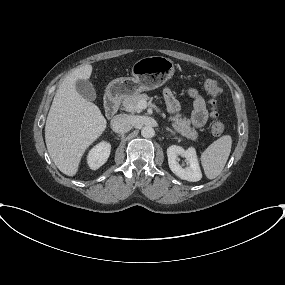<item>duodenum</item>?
Segmentation results:
<instances>
[{
    "instance_id": "410a0bca",
    "label": "duodenum",
    "mask_w": 285,
    "mask_h": 285,
    "mask_svg": "<svg viewBox=\"0 0 285 285\" xmlns=\"http://www.w3.org/2000/svg\"><path fill=\"white\" fill-rule=\"evenodd\" d=\"M120 98L114 92H109L105 99V114L107 118H112L118 111Z\"/></svg>"
}]
</instances>
